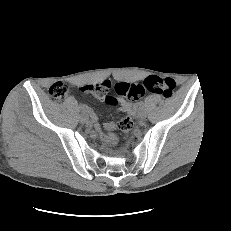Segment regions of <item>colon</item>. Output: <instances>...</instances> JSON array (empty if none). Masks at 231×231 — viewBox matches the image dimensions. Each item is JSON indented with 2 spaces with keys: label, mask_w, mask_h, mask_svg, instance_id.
<instances>
[{
  "label": "colon",
  "mask_w": 231,
  "mask_h": 231,
  "mask_svg": "<svg viewBox=\"0 0 231 231\" xmlns=\"http://www.w3.org/2000/svg\"><path fill=\"white\" fill-rule=\"evenodd\" d=\"M175 87L176 83L172 78L152 75L144 79L142 83H118L115 85L114 90L120 96L137 100L146 92L170 98L173 95ZM110 88L111 85L108 82H103L97 87L102 95H106ZM68 92V86L62 82L53 83L48 90L49 95L55 100H63L68 95ZM106 100L115 103V97L113 96L107 95ZM132 126L133 120L129 115L122 117L117 123V127L124 133H128Z\"/></svg>",
  "instance_id": "obj_1"
}]
</instances>
